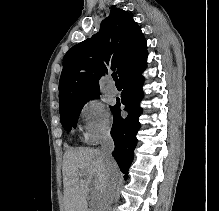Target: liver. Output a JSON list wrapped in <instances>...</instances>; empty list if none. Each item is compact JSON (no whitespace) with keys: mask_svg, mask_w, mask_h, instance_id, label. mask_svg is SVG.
<instances>
[{"mask_svg":"<svg viewBox=\"0 0 219 211\" xmlns=\"http://www.w3.org/2000/svg\"><path fill=\"white\" fill-rule=\"evenodd\" d=\"M119 177L118 165L107 167L99 149H68L63 157V193L65 211H89L90 183L98 211L113 203Z\"/></svg>","mask_w":219,"mask_h":211,"instance_id":"6515ba94","label":"liver"}]
</instances>
